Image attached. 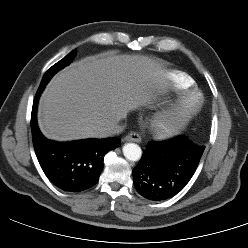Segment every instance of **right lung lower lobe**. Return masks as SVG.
Segmentation results:
<instances>
[{
  "label": "right lung lower lobe",
  "mask_w": 248,
  "mask_h": 248,
  "mask_svg": "<svg viewBox=\"0 0 248 248\" xmlns=\"http://www.w3.org/2000/svg\"><path fill=\"white\" fill-rule=\"evenodd\" d=\"M46 84H40L31 114V130L36 156L48 179L58 188L80 192L95 185L103 169L104 156L115 149L119 139H86L55 142L45 138L37 125V105Z\"/></svg>",
  "instance_id": "98d812e1"
}]
</instances>
